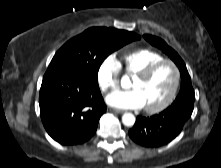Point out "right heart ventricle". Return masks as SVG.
<instances>
[{
  "mask_svg": "<svg viewBox=\"0 0 221 168\" xmlns=\"http://www.w3.org/2000/svg\"><path fill=\"white\" fill-rule=\"evenodd\" d=\"M164 57L150 49H137L122 56V65L127 74L136 75L154 62Z\"/></svg>",
  "mask_w": 221,
  "mask_h": 168,
  "instance_id": "right-heart-ventricle-1",
  "label": "right heart ventricle"
}]
</instances>
